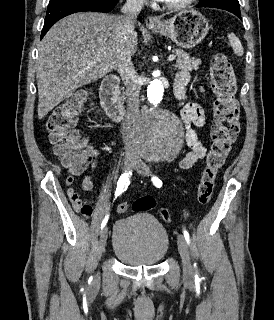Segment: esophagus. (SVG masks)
<instances>
[{
  "label": "esophagus",
  "mask_w": 274,
  "mask_h": 320,
  "mask_svg": "<svg viewBox=\"0 0 274 320\" xmlns=\"http://www.w3.org/2000/svg\"><path fill=\"white\" fill-rule=\"evenodd\" d=\"M157 23H158V20L155 19L154 17H150V16L146 17L145 24L147 26H154Z\"/></svg>",
  "instance_id": "34e87169"
}]
</instances>
